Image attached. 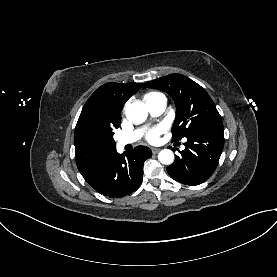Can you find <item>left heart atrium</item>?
<instances>
[{"instance_id":"1","label":"left heart atrium","mask_w":277,"mask_h":277,"mask_svg":"<svg viewBox=\"0 0 277 277\" xmlns=\"http://www.w3.org/2000/svg\"><path fill=\"white\" fill-rule=\"evenodd\" d=\"M165 126L164 125H159L155 128H153L152 130L149 131V133L147 134V140L150 143H155L158 141L159 136L165 131Z\"/></svg>"}]
</instances>
